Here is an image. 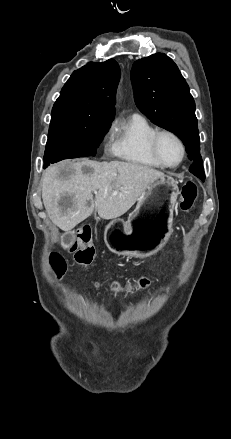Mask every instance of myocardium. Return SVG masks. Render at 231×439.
Wrapping results in <instances>:
<instances>
[{
  "label": "myocardium",
  "instance_id": "obj_1",
  "mask_svg": "<svg viewBox=\"0 0 231 439\" xmlns=\"http://www.w3.org/2000/svg\"><path fill=\"white\" fill-rule=\"evenodd\" d=\"M163 135H169L172 138H174L180 148H181V157L180 160L173 165L167 164L166 162H164V160L161 158L160 154H159V150H158V142L161 136ZM149 151L152 155V157L154 158V160L162 167L164 168H176L179 165H181V163L184 161L185 156H186V146L183 142V140L181 139V137L175 133L172 130H168V129H163V130H156V132L151 136L150 140H149Z\"/></svg>",
  "mask_w": 231,
  "mask_h": 439
}]
</instances>
